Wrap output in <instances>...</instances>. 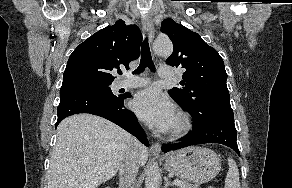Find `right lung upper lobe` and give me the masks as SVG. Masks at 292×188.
<instances>
[{
	"mask_svg": "<svg viewBox=\"0 0 292 188\" xmlns=\"http://www.w3.org/2000/svg\"><path fill=\"white\" fill-rule=\"evenodd\" d=\"M142 34L136 25L118 20L94 33L70 55L63 80L94 78L114 80L110 73L120 66L129 69L130 61L139 56Z\"/></svg>",
	"mask_w": 292,
	"mask_h": 188,
	"instance_id": "obj_1",
	"label": "right lung upper lobe"
}]
</instances>
